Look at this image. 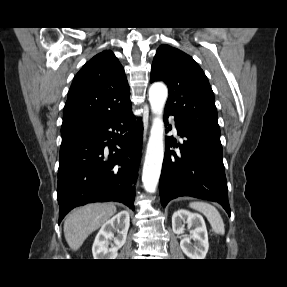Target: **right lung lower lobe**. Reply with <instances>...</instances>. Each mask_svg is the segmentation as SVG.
Masks as SVG:
<instances>
[{"mask_svg":"<svg viewBox=\"0 0 287 287\" xmlns=\"http://www.w3.org/2000/svg\"><path fill=\"white\" fill-rule=\"evenodd\" d=\"M131 106L62 136L58 169L59 223L77 206L117 201L134 210L143 126ZM108 146L112 155H105Z\"/></svg>","mask_w":287,"mask_h":287,"instance_id":"98d812e1","label":"right lung lower lobe"}]
</instances>
